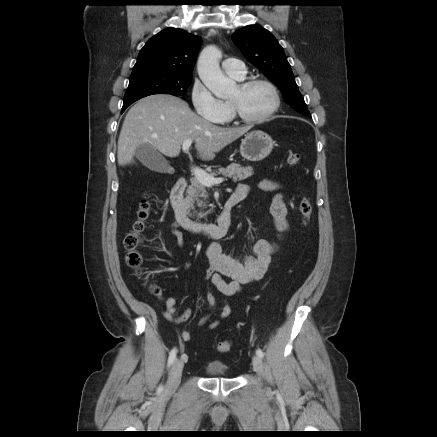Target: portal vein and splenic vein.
Instances as JSON below:
<instances>
[{
	"mask_svg": "<svg viewBox=\"0 0 437 437\" xmlns=\"http://www.w3.org/2000/svg\"><path fill=\"white\" fill-rule=\"evenodd\" d=\"M192 144V140H185L182 144V150L184 152H187ZM195 176V178L204 186L211 187L214 184H219L224 181L223 178H214L210 174H208L206 171L200 169V168H192L191 170Z\"/></svg>",
	"mask_w": 437,
	"mask_h": 437,
	"instance_id": "1",
	"label": "portal vein and splenic vein"
}]
</instances>
